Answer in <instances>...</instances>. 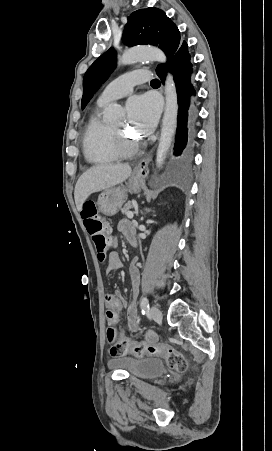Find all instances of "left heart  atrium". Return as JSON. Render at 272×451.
<instances>
[{
  "mask_svg": "<svg viewBox=\"0 0 272 451\" xmlns=\"http://www.w3.org/2000/svg\"><path fill=\"white\" fill-rule=\"evenodd\" d=\"M128 120L139 135H148L156 125L159 104L150 95L135 96L127 102Z\"/></svg>",
  "mask_w": 272,
  "mask_h": 451,
  "instance_id": "left-heart-atrium-1",
  "label": "left heart atrium"
}]
</instances>
